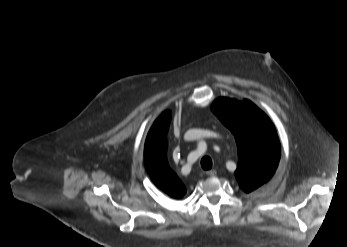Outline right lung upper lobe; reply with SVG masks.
Masks as SVG:
<instances>
[{"label":"right lung upper lobe","mask_w":347,"mask_h":247,"mask_svg":"<svg viewBox=\"0 0 347 247\" xmlns=\"http://www.w3.org/2000/svg\"><path fill=\"white\" fill-rule=\"evenodd\" d=\"M170 118V111H165L154 122L145 142L144 159L153 182L169 196L180 199L186 189L176 174L170 170L166 158V133Z\"/></svg>","instance_id":"cb5924a9"}]
</instances>
